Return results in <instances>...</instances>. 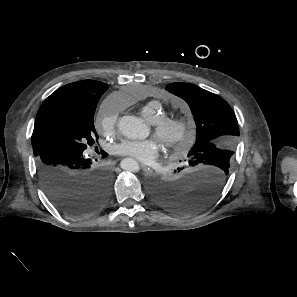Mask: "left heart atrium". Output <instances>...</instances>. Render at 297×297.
<instances>
[{
  "label": "left heart atrium",
  "mask_w": 297,
  "mask_h": 297,
  "mask_svg": "<svg viewBox=\"0 0 297 297\" xmlns=\"http://www.w3.org/2000/svg\"><path fill=\"white\" fill-rule=\"evenodd\" d=\"M160 149V144L155 139H124L115 146V152L118 155L133 158L144 164L155 161L159 156Z\"/></svg>",
  "instance_id": "obj_1"
}]
</instances>
